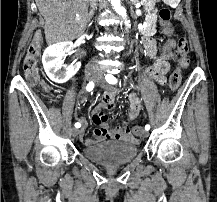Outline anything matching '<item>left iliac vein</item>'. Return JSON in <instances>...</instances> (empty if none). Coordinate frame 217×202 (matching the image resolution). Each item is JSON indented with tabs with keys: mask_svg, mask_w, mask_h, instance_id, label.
<instances>
[{
	"mask_svg": "<svg viewBox=\"0 0 217 202\" xmlns=\"http://www.w3.org/2000/svg\"><path fill=\"white\" fill-rule=\"evenodd\" d=\"M97 83H98V85L99 86H101L103 89H109V85H107L106 83H104V82H102V79H101V77L99 76L98 78H97V81H96ZM148 132L145 130V129H141V131H140V136L142 137V138H146V137H148Z\"/></svg>",
	"mask_w": 217,
	"mask_h": 202,
	"instance_id": "4c4485c4",
	"label": "left iliac vein"
}]
</instances>
